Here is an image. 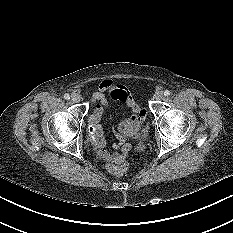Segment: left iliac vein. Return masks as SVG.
Segmentation results:
<instances>
[{"instance_id": "obj_1", "label": "left iliac vein", "mask_w": 233, "mask_h": 233, "mask_svg": "<svg viewBox=\"0 0 233 233\" xmlns=\"http://www.w3.org/2000/svg\"><path fill=\"white\" fill-rule=\"evenodd\" d=\"M163 97H164V94H163V92H161V91H158V92H156V93L154 94V99L157 100V101L162 100Z\"/></svg>"}]
</instances>
